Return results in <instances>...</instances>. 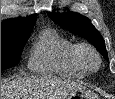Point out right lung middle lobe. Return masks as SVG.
<instances>
[{
    "instance_id": "1",
    "label": "right lung middle lobe",
    "mask_w": 115,
    "mask_h": 99,
    "mask_svg": "<svg viewBox=\"0 0 115 99\" xmlns=\"http://www.w3.org/2000/svg\"><path fill=\"white\" fill-rule=\"evenodd\" d=\"M29 34L1 36V70L15 66L21 56L22 49Z\"/></svg>"
}]
</instances>
